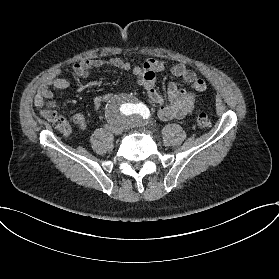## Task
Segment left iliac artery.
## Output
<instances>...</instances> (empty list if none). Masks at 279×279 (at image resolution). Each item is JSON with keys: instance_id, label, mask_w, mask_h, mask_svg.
<instances>
[{"instance_id": "1", "label": "left iliac artery", "mask_w": 279, "mask_h": 279, "mask_svg": "<svg viewBox=\"0 0 279 279\" xmlns=\"http://www.w3.org/2000/svg\"><path fill=\"white\" fill-rule=\"evenodd\" d=\"M140 110H141V115L143 116V118L147 119L150 117V111L145 105H143Z\"/></svg>"}]
</instances>
